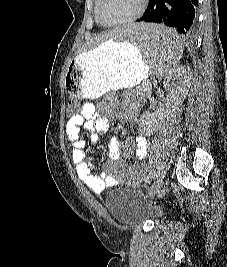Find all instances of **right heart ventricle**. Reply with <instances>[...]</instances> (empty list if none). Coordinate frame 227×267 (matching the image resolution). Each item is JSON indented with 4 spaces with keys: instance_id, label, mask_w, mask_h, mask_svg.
Here are the masks:
<instances>
[{
    "instance_id": "right-heart-ventricle-1",
    "label": "right heart ventricle",
    "mask_w": 227,
    "mask_h": 267,
    "mask_svg": "<svg viewBox=\"0 0 227 267\" xmlns=\"http://www.w3.org/2000/svg\"><path fill=\"white\" fill-rule=\"evenodd\" d=\"M97 5H98V0L95 1V7H94L95 17H96V20H97L98 23L103 24V23L100 21V19H99V17H98V14H97Z\"/></svg>"
}]
</instances>
